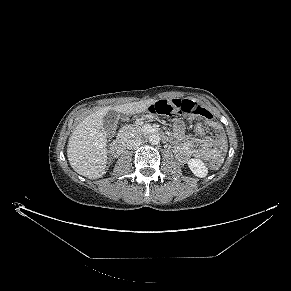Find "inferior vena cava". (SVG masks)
Masks as SVG:
<instances>
[{
    "mask_svg": "<svg viewBox=\"0 0 291 291\" xmlns=\"http://www.w3.org/2000/svg\"><path fill=\"white\" fill-rule=\"evenodd\" d=\"M141 144V139L139 137H132L127 140L126 146L128 149H135Z\"/></svg>",
    "mask_w": 291,
    "mask_h": 291,
    "instance_id": "inferior-vena-cava-1",
    "label": "inferior vena cava"
}]
</instances>
